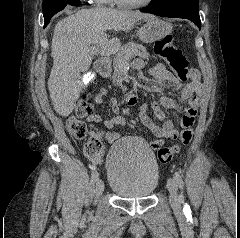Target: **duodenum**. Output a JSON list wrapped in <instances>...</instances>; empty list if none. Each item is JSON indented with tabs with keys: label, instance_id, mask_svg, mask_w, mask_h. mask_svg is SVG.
Here are the masks:
<instances>
[{
	"label": "duodenum",
	"instance_id": "410a0bca",
	"mask_svg": "<svg viewBox=\"0 0 240 238\" xmlns=\"http://www.w3.org/2000/svg\"><path fill=\"white\" fill-rule=\"evenodd\" d=\"M95 68L100 75L104 77H107L109 75V64L107 60L105 59L96 60ZM126 101L129 104H135L137 102V97L134 94H130L127 96Z\"/></svg>",
	"mask_w": 240,
	"mask_h": 238
}]
</instances>
